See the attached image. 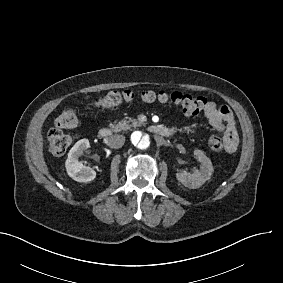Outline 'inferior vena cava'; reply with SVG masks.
I'll use <instances>...</instances> for the list:
<instances>
[{"label":"inferior vena cava","instance_id":"obj_1","mask_svg":"<svg viewBox=\"0 0 283 283\" xmlns=\"http://www.w3.org/2000/svg\"><path fill=\"white\" fill-rule=\"evenodd\" d=\"M125 143V137L123 135H112L108 139V146L113 149L121 148Z\"/></svg>","mask_w":283,"mask_h":283}]
</instances>
